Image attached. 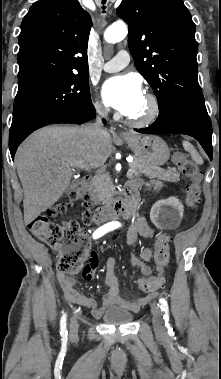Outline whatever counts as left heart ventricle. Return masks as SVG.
Masks as SVG:
<instances>
[{
	"mask_svg": "<svg viewBox=\"0 0 221 379\" xmlns=\"http://www.w3.org/2000/svg\"><path fill=\"white\" fill-rule=\"evenodd\" d=\"M147 109H148V103L144 97L140 107L138 108V110L133 113L132 115H130L129 117L131 118H139V117H142L146 112H147Z\"/></svg>",
	"mask_w": 221,
	"mask_h": 379,
	"instance_id": "obj_1",
	"label": "left heart ventricle"
}]
</instances>
